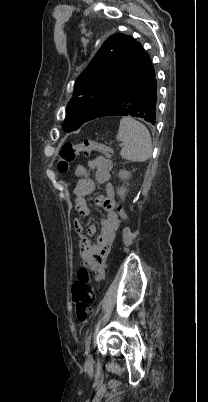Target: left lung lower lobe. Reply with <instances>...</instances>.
<instances>
[{
	"label": "left lung lower lobe",
	"instance_id": "0a47b994",
	"mask_svg": "<svg viewBox=\"0 0 208 402\" xmlns=\"http://www.w3.org/2000/svg\"><path fill=\"white\" fill-rule=\"evenodd\" d=\"M157 102L156 74L151 59L144 50L143 63L138 71L125 85L117 99L98 117L131 115L154 125L157 119Z\"/></svg>",
	"mask_w": 208,
	"mask_h": 402
}]
</instances>
